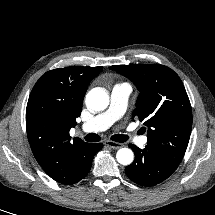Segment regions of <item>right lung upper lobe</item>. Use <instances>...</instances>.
Instances as JSON below:
<instances>
[{
  "instance_id": "1",
  "label": "right lung upper lobe",
  "mask_w": 215,
  "mask_h": 215,
  "mask_svg": "<svg viewBox=\"0 0 215 215\" xmlns=\"http://www.w3.org/2000/svg\"><path fill=\"white\" fill-rule=\"evenodd\" d=\"M102 67L71 66L46 72L35 84L26 108L27 136L43 170L55 181L70 184L90 143L71 142L69 131L81 114L89 82Z\"/></svg>"
}]
</instances>
